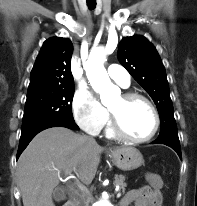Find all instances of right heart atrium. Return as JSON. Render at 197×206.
Listing matches in <instances>:
<instances>
[{
	"instance_id": "right-heart-atrium-1",
	"label": "right heart atrium",
	"mask_w": 197,
	"mask_h": 206,
	"mask_svg": "<svg viewBox=\"0 0 197 206\" xmlns=\"http://www.w3.org/2000/svg\"><path fill=\"white\" fill-rule=\"evenodd\" d=\"M72 111L76 123L92 135L98 134L108 120L107 110L87 88L75 92L72 100Z\"/></svg>"
}]
</instances>
